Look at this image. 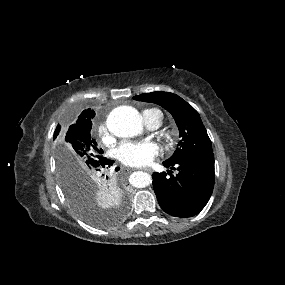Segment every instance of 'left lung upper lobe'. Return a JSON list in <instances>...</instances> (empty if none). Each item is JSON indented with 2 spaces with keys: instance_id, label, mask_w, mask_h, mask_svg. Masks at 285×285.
Masks as SVG:
<instances>
[{
  "instance_id": "1",
  "label": "left lung upper lobe",
  "mask_w": 285,
  "mask_h": 285,
  "mask_svg": "<svg viewBox=\"0 0 285 285\" xmlns=\"http://www.w3.org/2000/svg\"><path fill=\"white\" fill-rule=\"evenodd\" d=\"M133 98L156 103L169 111L175 119L181 140L174 154L165 162L176 163L189 159L214 158L211 140L198 112L181 97L173 93L157 91Z\"/></svg>"
}]
</instances>
